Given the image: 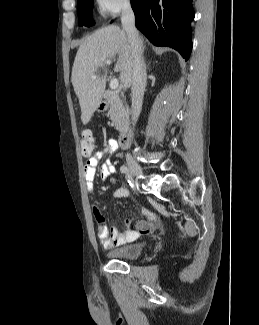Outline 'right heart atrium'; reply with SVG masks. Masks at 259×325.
I'll use <instances>...</instances> for the list:
<instances>
[{"instance_id":"1","label":"right heart atrium","mask_w":259,"mask_h":325,"mask_svg":"<svg viewBox=\"0 0 259 325\" xmlns=\"http://www.w3.org/2000/svg\"><path fill=\"white\" fill-rule=\"evenodd\" d=\"M95 2L100 14L105 17L119 14L130 4V0H95Z\"/></svg>"}]
</instances>
